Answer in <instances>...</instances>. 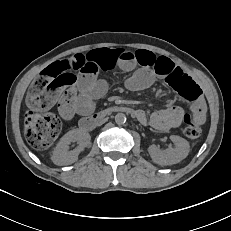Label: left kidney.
<instances>
[{
    "label": "left kidney",
    "instance_id": "left-kidney-1",
    "mask_svg": "<svg viewBox=\"0 0 231 231\" xmlns=\"http://www.w3.org/2000/svg\"><path fill=\"white\" fill-rule=\"evenodd\" d=\"M170 139L175 144V148L166 149L164 152L155 145L149 146L148 152L153 162L159 165H172L188 156L190 146L187 140L176 135H171Z\"/></svg>",
    "mask_w": 231,
    "mask_h": 231
}]
</instances>
